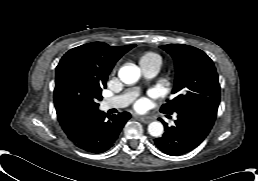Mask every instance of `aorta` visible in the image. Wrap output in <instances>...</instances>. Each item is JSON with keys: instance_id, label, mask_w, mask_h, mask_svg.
<instances>
[{"instance_id": "1", "label": "aorta", "mask_w": 258, "mask_h": 181, "mask_svg": "<svg viewBox=\"0 0 258 181\" xmlns=\"http://www.w3.org/2000/svg\"><path fill=\"white\" fill-rule=\"evenodd\" d=\"M141 76L140 69L133 64H126L119 69L118 77L125 84L136 83ZM164 127L161 122L154 121L148 125V132L153 137H160L163 134Z\"/></svg>"}]
</instances>
